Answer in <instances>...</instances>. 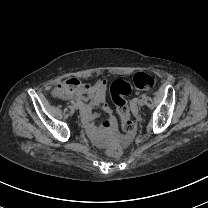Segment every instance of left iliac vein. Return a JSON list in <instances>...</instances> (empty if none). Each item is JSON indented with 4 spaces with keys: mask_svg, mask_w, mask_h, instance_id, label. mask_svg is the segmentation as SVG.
<instances>
[{
    "mask_svg": "<svg viewBox=\"0 0 208 208\" xmlns=\"http://www.w3.org/2000/svg\"><path fill=\"white\" fill-rule=\"evenodd\" d=\"M144 104H145V99L144 98L139 99L138 105L143 106Z\"/></svg>",
    "mask_w": 208,
    "mask_h": 208,
    "instance_id": "obj_1",
    "label": "left iliac vein"
}]
</instances>
